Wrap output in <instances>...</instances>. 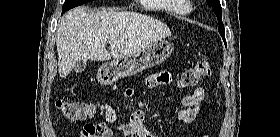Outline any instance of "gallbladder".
Returning <instances> with one entry per match:
<instances>
[{"label": "gallbladder", "mask_w": 280, "mask_h": 137, "mask_svg": "<svg viewBox=\"0 0 280 137\" xmlns=\"http://www.w3.org/2000/svg\"><path fill=\"white\" fill-rule=\"evenodd\" d=\"M86 67H87V61L80 60L75 63L73 69L76 73H82L86 69Z\"/></svg>", "instance_id": "gallbladder-1"}]
</instances>
